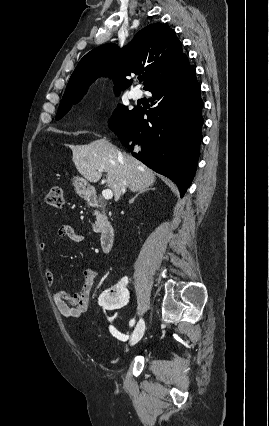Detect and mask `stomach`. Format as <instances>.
Masks as SVG:
<instances>
[{
  "label": "stomach",
  "mask_w": 269,
  "mask_h": 426,
  "mask_svg": "<svg viewBox=\"0 0 269 426\" xmlns=\"http://www.w3.org/2000/svg\"><path fill=\"white\" fill-rule=\"evenodd\" d=\"M73 185L76 193L82 198H89L93 193V186H91L84 178L74 177Z\"/></svg>",
  "instance_id": "stomach-1"
}]
</instances>
